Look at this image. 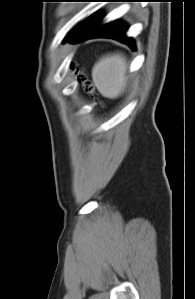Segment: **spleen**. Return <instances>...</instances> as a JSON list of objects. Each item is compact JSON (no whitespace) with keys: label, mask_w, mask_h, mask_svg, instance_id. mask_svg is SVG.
Masks as SVG:
<instances>
[{"label":"spleen","mask_w":195,"mask_h":299,"mask_svg":"<svg viewBox=\"0 0 195 299\" xmlns=\"http://www.w3.org/2000/svg\"><path fill=\"white\" fill-rule=\"evenodd\" d=\"M127 61L121 54L103 56L92 69V78L98 91L107 98L119 97L127 87Z\"/></svg>","instance_id":"obj_1"}]
</instances>
